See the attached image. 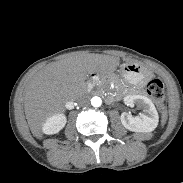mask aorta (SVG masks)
I'll return each instance as SVG.
<instances>
[{
	"instance_id": "aorta-1",
	"label": "aorta",
	"mask_w": 183,
	"mask_h": 183,
	"mask_svg": "<svg viewBox=\"0 0 183 183\" xmlns=\"http://www.w3.org/2000/svg\"><path fill=\"white\" fill-rule=\"evenodd\" d=\"M101 104H102V100H101L100 97L95 96V97H93V98L91 99V105H92L93 107H100Z\"/></svg>"
}]
</instances>
